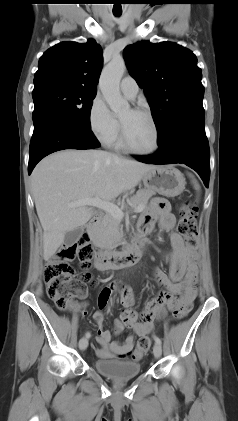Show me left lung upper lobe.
Segmentation results:
<instances>
[{
	"label": "left lung upper lobe",
	"instance_id": "5c2ea615",
	"mask_svg": "<svg viewBox=\"0 0 238 421\" xmlns=\"http://www.w3.org/2000/svg\"><path fill=\"white\" fill-rule=\"evenodd\" d=\"M124 58L148 99L158 141L181 120L205 114L202 73L189 49L172 42L142 41L127 46Z\"/></svg>",
	"mask_w": 238,
	"mask_h": 421
}]
</instances>
